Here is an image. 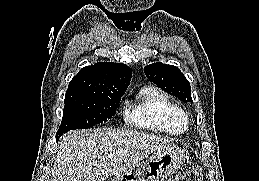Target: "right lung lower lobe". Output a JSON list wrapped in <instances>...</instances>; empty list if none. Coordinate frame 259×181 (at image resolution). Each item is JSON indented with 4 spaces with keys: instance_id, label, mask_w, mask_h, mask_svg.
<instances>
[{
    "instance_id": "1",
    "label": "right lung lower lobe",
    "mask_w": 259,
    "mask_h": 181,
    "mask_svg": "<svg viewBox=\"0 0 259 181\" xmlns=\"http://www.w3.org/2000/svg\"><path fill=\"white\" fill-rule=\"evenodd\" d=\"M61 136H56V141L58 142V140H59V138H60Z\"/></svg>"
}]
</instances>
